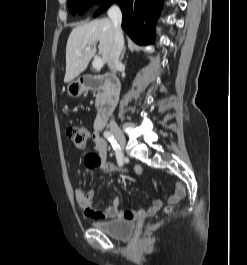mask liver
<instances>
[{"instance_id":"1","label":"liver","mask_w":247,"mask_h":265,"mask_svg":"<svg viewBox=\"0 0 247 265\" xmlns=\"http://www.w3.org/2000/svg\"><path fill=\"white\" fill-rule=\"evenodd\" d=\"M114 26L110 19H96L90 23L75 27L67 40L66 46V72L64 82L73 81L82 73L96 53V44L99 42V53L103 62H108L109 53L113 44ZM90 51L82 52L86 47Z\"/></svg>"}]
</instances>
